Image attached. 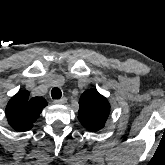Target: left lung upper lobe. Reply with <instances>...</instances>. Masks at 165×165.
<instances>
[{
    "label": "left lung upper lobe",
    "mask_w": 165,
    "mask_h": 165,
    "mask_svg": "<svg viewBox=\"0 0 165 165\" xmlns=\"http://www.w3.org/2000/svg\"><path fill=\"white\" fill-rule=\"evenodd\" d=\"M109 113V102L96 90H87L81 95L78 119L89 131L96 132L102 129Z\"/></svg>",
    "instance_id": "obj_1"
}]
</instances>
